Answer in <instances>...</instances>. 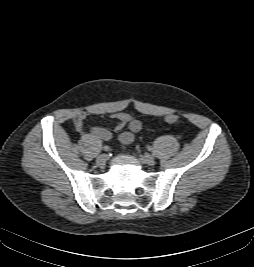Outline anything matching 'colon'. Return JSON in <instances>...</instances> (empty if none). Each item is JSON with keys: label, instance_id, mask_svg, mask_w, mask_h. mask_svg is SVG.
<instances>
[{"label": "colon", "instance_id": "obj_1", "mask_svg": "<svg viewBox=\"0 0 254 267\" xmlns=\"http://www.w3.org/2000/svg\"><path fill=\"white\" fill-rule=\"evenodd\" d=\"M178 120H179V117L175 114H170L165 117V121L169 124H174L178 122Z\"/></svg>", "mask_w": 254, "mask_h": 267}]
</instances>
